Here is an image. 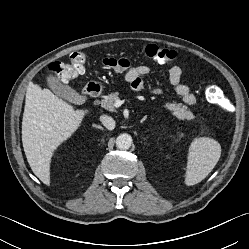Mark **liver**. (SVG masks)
Instances as JSON below:
<instances>
[{"label":"liver","instance_id":"obj_1","mask_svg":"<svg viewBox=\"0 0 249 249\" xmlns=\"http://www.w3.org/2000/svg\"><path fill=\"white\" fill-rule=\"evenodd\" d=\"M86 110H75L50 90L37 84L27 88L22 120V143L33 173L50 185L54 151L80 127Z\"/></svg>","mask_w":249,"mask_h":249}]
</instances>
